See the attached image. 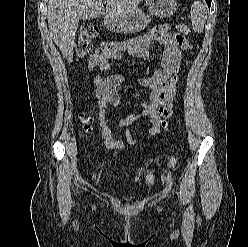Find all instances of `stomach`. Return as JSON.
Instances as JSON below:
<instances>
[{"mask_svg": "<svg viewBox=\"0 0 248 247\" xmlns=\"http://www.w3.org/2000/svg\"><path fill=\"white\" fill-rule=\"evenodd\" d=\"M152 15L168 17L177 10L176 0H145ZM110 18V17H109ZM150 22L149 16L140 10L127 17L110 18L106 21L109 30L115 33H133L143 30Z\"/></svg>", "mask_w": 248, "mask_h": 247, "instance_id": "obj_1", "label": "stomach"}]
</instances>
